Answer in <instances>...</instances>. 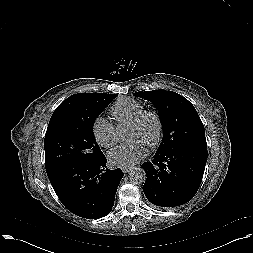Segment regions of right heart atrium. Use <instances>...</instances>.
<instances>
[{
	"label": "right heart atrium",
	"instance_id": "right-heart-atrium-1",
	"mask_svg": "<svg viewBox=\"0 0 253 253\" xmlns=\"http://www.w3.org/2000/svg\"><path fill=\"white\" fill-rule=\"evenodd\" d=\"M95 141L104 148H109L115 143V127L106 118L97 117L92 126Z\"/></svg>",
	"mask_w": 253,
	"mask_h": 253
}]
</instances>
